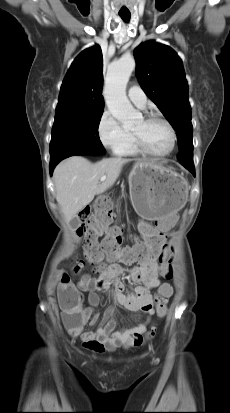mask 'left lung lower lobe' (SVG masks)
Returning <instances> with one entry per match:
<instances>
[{
  "label": "left lung lower lobe",
  "instance_id": "1",
  "mask_svg": "<svg viewBox=\"0 0 230 413\" xmlns=\"http://www.w3.org/2000/svg\"><path fill=\"white\" fill-rule=\"evenodd\" d=\"M185 168H187L194 176H195V168L194 164H183Z\"/></svg>",
  "mask_w": 230,
  "mask_h": 413
}]
</instances>
